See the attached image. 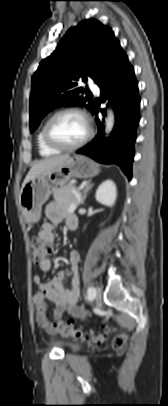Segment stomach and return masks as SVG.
<instances>
[{
    "mask_svg": "<svg viewBox=\"0 0 168 406\" xmlns=\"http://www.w3.org/2000/svg\"><path fill=\"white\" fill-rule=\"evenodd\" d=\"M99 172L98 165L92 160L82 155H74L62 167L30 180L22 187L19 198L25 221H39L42 205L52 193L50 184L63 186L71 178H91Z\"/></svg>",
    "mask_w": 168,
    "mask_h": 406,
    "instance_id": "obj_1",
    "label": "stomach"
}]
</instances>
